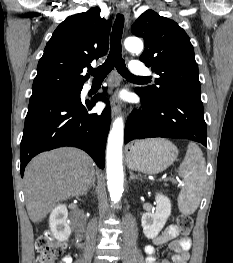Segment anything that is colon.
I'll use <instances>...</instances> for the list:
<instances>
[{
  "label": "colon",
  "instance_id": "1",
  "mask_svg": "<svg viewBox=\"0 0 233 263\" xmlns=\"http://www.w3.org/2000/svg\"><path fill=\"white\" fill-rule=\"evenodd\" d=\"M177 224L183 234H188L193 226L192 217L181 214L177 218ZM35 248L36 263H56L65 249V244L57 241L51 233L47 232L37 238Z\"/></svg>",
  "mask_w": 233,
  "mask_h": 263
}]
</instances>
